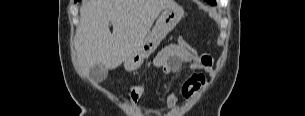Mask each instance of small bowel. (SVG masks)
<instances>
[{"mask_svg": "<svg viewBox=\"0 0 305 116\" xmlns=\"http://www.w3.org/2000/svg\"><path fill=\"white\" fill-rule=\"evenodd\" d=\"M212 57L208 54H200L192 48L183 38L177 44L164 47L153 60V65L161 69L166 75L179 72L184 65L191 69L200 71H210L212 69ZM193 75L196 77L194 78ZM206 85V78L202 74L190 75L180 87V95L185 100H189ZM178 96L173 92L166 95L168 107L175 110L178 105Z\"/></svg>", "mask_w": 305, "mask_h": 116, "instance_id": "1", "label": "small bowel"}]
</instances>
